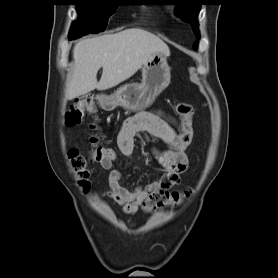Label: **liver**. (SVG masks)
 I'll use <instances>...</instances> for the list:
<instances>
[{
    "label": "liver",
    "instance_id": "liver-1",
    "mask_svg": "<svg viewBox=\"0 0 278 278\" xmlns=\"http://www.w3.org/2000/svg\"><path fill=\"white\" fill-rule=\"evenodd\" d=\"M157 52L170 53L159 37L137 28L79 41L73 48L74 70L66 88V99L117 86L132 77Z\"/></svg>",
    "mask_w": 278,
    "mask_h": 278
}]
</instances>
